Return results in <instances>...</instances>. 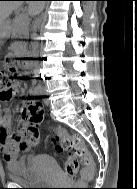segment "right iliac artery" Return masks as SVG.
Segmentation results:
<instances>
[{"instance_id": "right-iliac-artery-1", "label": "right iliac artery", "mask_w": 137, "mask_h": 189, "mask_svg": "<svg viewBox=\"0 0 137 189\" xmlns=\"http://www.w3.org/2000/svg\"><path fill=\"white\" fill-rule=\"evenodd\" d=\"M35 93H36L37 95H40V94H41L40 91H39V89H36V90H35Z\"/></svg>"}]
</instances>
